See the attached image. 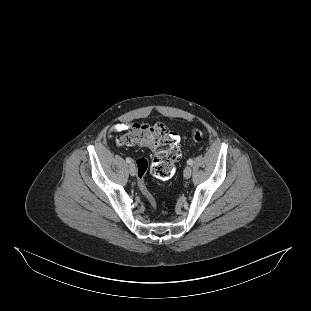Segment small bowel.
<instances>
[{"label": "small bowel", "mask_w": 311, "mask_h": 311, "mask_svg": "<svg viewBox=\"0 0 311 311\" xmlns=\"http://www.w3.org/2000/svg\"><path fill=\"white\" fill-rule=\"evenodd\" d=\"M128 128H130L129 124L120 123V124L113 126L112 131H124V130H127Z\"/></svg>", "instance_id": "small-bowel-1"}]
</instances>
